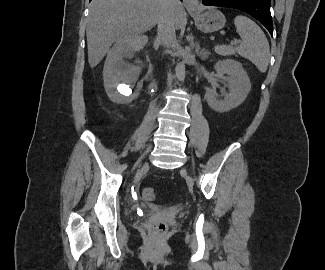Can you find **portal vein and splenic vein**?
Segmentation results:
<instances>
[{
    "instance_id": "obj_1",
    "label": "portal vein and splenic vein",
    "mask_w": 325,
    "mask_h": 270,
    "mask_svg": "<svg viewBox=\"0 0 325 270\" xmlns=\"http://www.w3.org/2000/svg\"><path fill=\"white\" fill-rule=\"evenodd\" d=\"M240 41L239 40H234V41H231V44H238Z\"/></svg>"
}]
</instances>
